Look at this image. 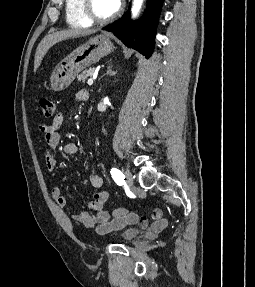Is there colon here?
Here are the masks:
<instances>
[{
    "label": "colon",
    "instance_id": "1",
    "mask_svg": "<svg viewBox=\"0 0 255 287\" xmlns=\"http://www.w3.org/2000/svg\"><path fill=\"white\" fill-rule=\"evenodd\" d=\"M40 108L45 118H51L55 112V104L53 101L47 98H43L40 100ZM130 212L126 208H117L113 210V217H124L128 215Z\"/></svg>",
    "mask_w": 255,
    "mask_h": 287
}]
</instances>
